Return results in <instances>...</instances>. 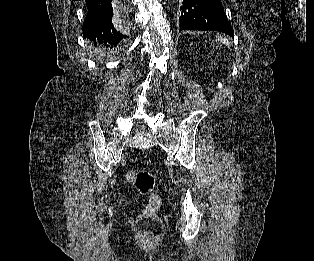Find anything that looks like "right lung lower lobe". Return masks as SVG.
Masks as SVG:
<instances>
[{"instance_id":"obj_1","label":"right lung lower lobe","mask_w":314,"mask_h":261,"mask_svg":"<svg viewBox=\"0 0 314 261\" xmlns=\"http://www.w3.org/2000/svg\"><path fill=\"white\" fill-rule=\"evenodd\" d=\"M119 0H86L88 12L83 24V36L97 43L116 47L126 36L113 16Z\"/></svg>"}]
</instances>
